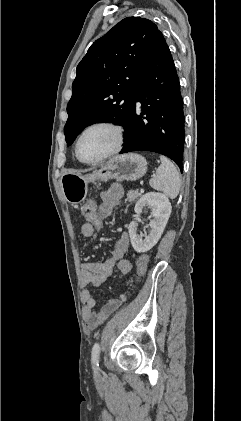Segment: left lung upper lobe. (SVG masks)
<instances>
[{
  "label": "left lung upper lobe",
  "instance_id": "5c2ea615",
  "mask_svg": "<svg viewBox=\"0 0 241 421\" xmlns=\"http://www.w3.org/2000/svg\"><path fill=\"white\" fill-rule=\"evenodd\" d=\"M159 33L152 21L127 17L91 45L77 66L67 105L68 146L93 123H118L128 131L136 84Z\"/></svg>",
  "mask_w": 241,
  "mask_h": 421
}]
</instances>
